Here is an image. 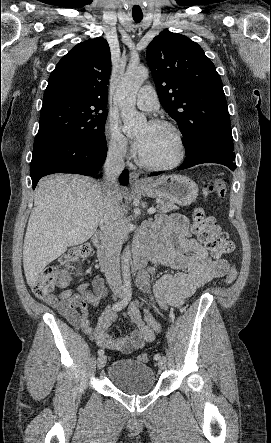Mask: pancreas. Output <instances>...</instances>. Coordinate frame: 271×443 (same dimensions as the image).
Here are the masks:
<instances>
[{
    "instance_id": "pancreas-1",
    "label": "pancreas",
    "mask_w": 271,
    "mask_h": 443,
    "mask_svg": "<svg viewBox=\"0 0 271 443\" xmlns=\"http://www.w3.org/2000/svg\"><path fill=\"white\" fill-rule=\"evenodd\" d=\"M157 204L158 212H160V214H166V212H171V210H178L177 206H174L173 202H164V200H159Z\"/></svg>"
}]
</instances>
